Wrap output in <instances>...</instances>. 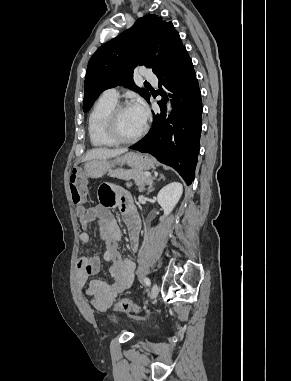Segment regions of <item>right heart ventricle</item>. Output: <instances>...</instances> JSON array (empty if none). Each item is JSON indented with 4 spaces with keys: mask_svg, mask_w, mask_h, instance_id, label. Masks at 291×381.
Wrapping results in <instances>:
<instances>
[{
    "mask_svg": "<svg viewBox=\"0 0 291 381\" xmlns=\"http://www.w3.org/2000/svg\"><path fill=\"white\" fill-rule=\"evenodd\" d=\"M117 104V100L101 96L93 105L88 117V136L96 148H107L117 145L104 132V120L108 112Z\"/></svg>",
    "mask_w": 291,
    "mask_h": 381,
    "instance_id": "right-heart-ventricle-1",
    "label": "right heart ventricle"
}]
</instances>
